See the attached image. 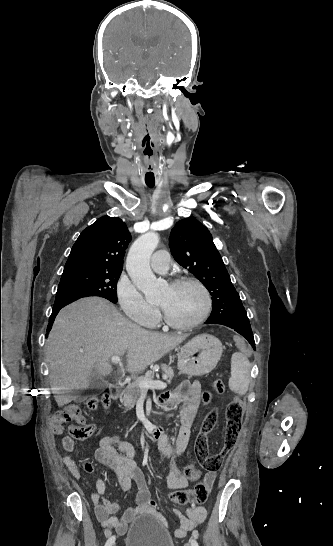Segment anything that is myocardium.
Listing matches in <instances>:
<instances>
[{
	"instance_id": "f54148a6",
	"label": "myocardium",
	"mask_w": 333,
	"mask_h": 546,
	"mask_svg": "<svg viewBox=\"0 0 333 546\" xmlns=\"http://www.w3.org/2000/svg\"><path fill=\"white\" fill-rule=\"evenodd\" d=\"M186 284L194 285L201 291V293H202V295L204 297V306L202 308V311H201L200 315L195 320H193L191 322H188V323H179V322L174 321L173 319H171L167 315V313L164 311V309L161 308L162 319H163L164 323L167 326H169L170 328H173V329H176V330H191V329H194V328L198 327L199 325H201L209 317V315L211 313V310H212V306H213L210 291L208 290V288L206 287V285L202 281H200L199 279H197L195 277H189V276L179 277V278L175 279L174 281H172L170 286L172 288H176V287H179L181 285H186Z\"/></svg>"
}]
</instances>
